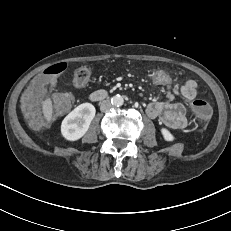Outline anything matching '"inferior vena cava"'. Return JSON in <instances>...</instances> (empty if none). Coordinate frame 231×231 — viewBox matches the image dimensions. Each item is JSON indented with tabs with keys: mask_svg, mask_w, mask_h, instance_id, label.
I'll return each instance as SVG.
<instances>
[{
	"mask_svg": "<svg viewBox=\"0 0 231 231\" xmlns=\"http://www.w3.org/2000/svg\"><path fill=\"white\" fill-rule=\"evenodd\" d=\"M112 104L109 100H103L102 102H100V110L102 112H107L111 109Z\"/></svg>",
	"mask_w": 231,
	"mask_h": 231,
	"instance_id": "inferior-vena-cava-1",
	"label": "inferior vena cava"
}]
</instances>
